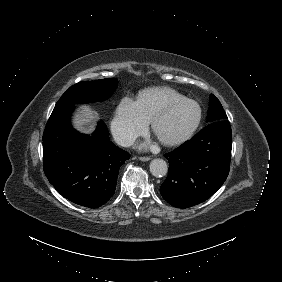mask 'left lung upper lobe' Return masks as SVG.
<instances>
[{"mask_svg": "<svg viewBox=\"0 0 282 282\" xmlns=\"http://www.w3.org/2000/svg\"><path fill=\"white\" fill-rule=\"evenodd\" d=\"M207 118L208 122L227 119V116L222 108L221 103L213 94L210 95V103Z\"/></svg>", "mask_w": 282, "mask_h": 282, "instance_id": "5c2ea615", "label": "left lung upper lobe"}]
</instances>
